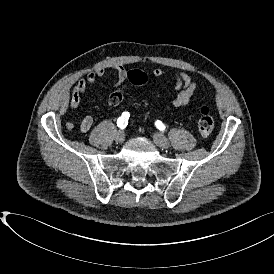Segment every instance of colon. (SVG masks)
I'll return each instance as SVG.
<instances>
[{
  "label": "colon",
  "instance_id": "obj_1",
  "mask_svg": "<svg viewBox=\"0 0 274 274\" xmlns=\"http://www.w3.org/2000/svg\"><path fill=\"white\" fill-rule=\"evenodd\" d=\"M127 79L135 85H143L147 81V75L141 70H130L127 73ZM125 94L122 90L117 89L113 93L109 94L106 101L111 106H118L124 99ZM73 122H67V128L71 129ZM214 127V120L210 114V110L206 105L200 108V117L198 120V130L201 134H210Z\"/></svg>",
  "mask_w": 274,
  "mask_h": 274
}]
</instances>
